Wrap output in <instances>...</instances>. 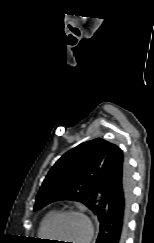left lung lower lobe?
<instances>
[{
    "instance_id": "0a47b994",
    "label": "left lung lower lobe",
    "mask_w": 154,
    "mask_h": 243,
    "mask_svg": "<svg viewBox=\"0 0 154 243\" xmlns=\"http://www.w3.org/2000/svg\"><path fill=\"white\" fill-rule=\"evenodd\" d=\"M99 220L96 243H125L132 199V178L127 161L118 147L107 154L94 184Z\"/></svg>"
}]
</instances>
